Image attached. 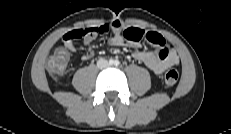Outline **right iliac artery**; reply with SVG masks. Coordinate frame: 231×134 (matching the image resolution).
Returning a JSON list of instances; mask_svg holds the SVG:
<instances>
[{"instance_id": "1", "label": "right iliac artery", "mask_w": 231, "mask_h": 134, "mask_svg": "<svg viewBox=\"0 0 231 134\" xmlns=\"http://www.w3.org/2000/svg\"><path fill=\"white\" fill-rule=\"evenodd\" d=\"M109 64H110V65L114 64V60H113V59H110V60H109Z\"/></svg>"}]
</instances>
